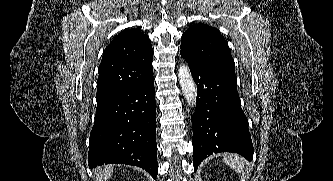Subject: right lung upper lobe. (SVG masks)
Returning <instances> with one entry per match:
<instances>
[{
    "instance_id": "right-lung-upper-lobe-1",
    "label": "right lung upper lobe",
    "mask_w": 333,
    "mask_h": 181,
    "mask_svg": "<svg viewBox=\"0 0 333 181\" xmlns=\"http://www.w3.org/2000/svg\"><path fill=\"white\" fill-rule=\"evenodd\" d=\"M150 39L136 29H126L106 47L99 66L97 103L153 77Z\"/></svg>"
}]
</instances>
